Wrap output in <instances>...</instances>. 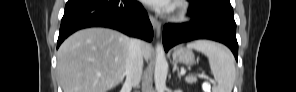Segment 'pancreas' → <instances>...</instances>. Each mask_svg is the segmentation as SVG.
Segmentation results:
<instances>
[{"instance_id":"1","label":"pancreas","mask_w":296,"mask_h":92,"mask_svg":"<svg viewBox=\"0 0 296 92\" xmlns=\"http://www.w3.org/2000/svg\"><path fill=\"white\" fill-rule=\"evenodd\" d=\"M185 81L189 84H192V83H196L197 82V78L196 77H193V76H188L185 78Z\"/></svg>"}]
</instances>
